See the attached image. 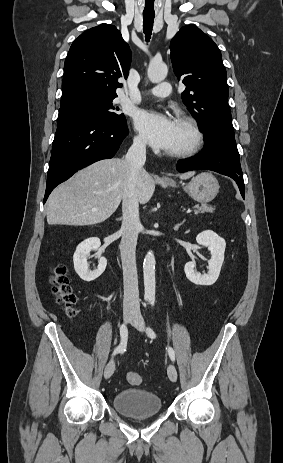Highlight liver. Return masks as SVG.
Masks as SVG:
<instances>
[{
	"label": "liver",
	"mask_w": 283,
	"mask_h": 463,
	"mask_svg": "<svg viewBox=\"0 0 283 463\" xmlns=\"http://www.w3.org/2000/svg\"><path fill=\"white\" fill-rule=\"evenodd\" d=\"M195 172L178 175L188 179ZM130 176L125 159L98 161L72 179L56 187L47 201L49 225L89 226L104 222L118 208ZM155 191V181L145 170L138 189V200L147 203Z\"/></svg>",
	"instance_id": "obj_1"
}]
</instances>
